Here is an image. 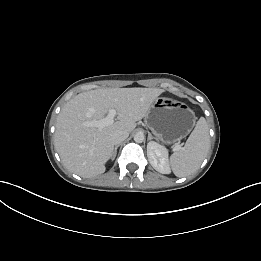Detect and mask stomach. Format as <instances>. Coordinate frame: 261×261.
<instances>
[{
	"mask_svg": "<svg viewBox=\"0 0 261 261\" xmlns=\"http://www.w3.org/2000/svg\"><path fill=\"white\" fill-rule=\"evenodd\" d=\"M148 128L164 144L179 142L196 123L194 111L185 103L167 98H157L145 116Z\"/></svg>",
	"mask_w": 261,
	"mask_h": 261,
	"instance_id": "0dacf381",
	"label": "stomach"
}]
</instances>
